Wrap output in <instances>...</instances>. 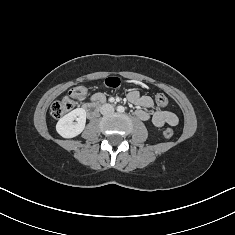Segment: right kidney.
<instances>
[{"label":"right kidney","instance_id":"right-kidney-1","mask_svg":"<svg viewBox=\"0 0 235 235\" xmlns=\"http://www.w3.org/2000/svg\"><path fill=\"white\" fill-rule=\"evenodd\" d=\"M85 123L86 111L83 108H76L57 122L56 131L64 138H73L84 130Z\"/></svg>","mask_w":235,"mask_h":235}]
</instances>
